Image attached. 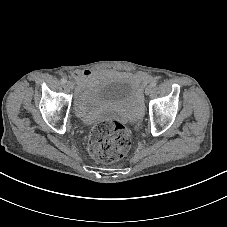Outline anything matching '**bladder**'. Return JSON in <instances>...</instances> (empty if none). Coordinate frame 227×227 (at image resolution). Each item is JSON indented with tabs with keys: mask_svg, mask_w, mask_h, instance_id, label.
I'll use <instances>...</instances> for the list:
<instances>
[{
	"mask_svg": "<svg viewBox=\"0 0 227 227\" xmlns=\"http://www.w3.org/2000/svg\"><path fill=\"white\" fill-rule=\"evenodd\" d=\"M86 99L90 108L83 115L101 104H114L126 113L134 112L139 103L136 86L131 80L100 81L91 89Z\"/></svg>",
	"mask_w": 227,
	"mask_h": 227,
	"instance_id": "31cf9c89",
	"label": "bladder"
}]
</instances>
